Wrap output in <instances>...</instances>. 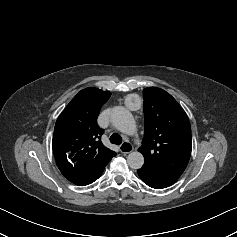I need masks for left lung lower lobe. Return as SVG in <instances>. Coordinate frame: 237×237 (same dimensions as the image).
<instances>
[{
    "label": "left lung lower lobe",
    "instance_id": "obj_1",
    "mask_svg": "<svg viewBox=\"0 0 237 237\" xmlns=\"http://www.w3.org/2000/svg\"><path fill=\"white\" fill-rule=\"evenodd\" d=\"M137 172L143 182L156 189L166 188L175 183L179 178L148 165H143Z\"/></svg>",
    "mask_w": 237,
    "mask_h": 237
}]
</instances>
